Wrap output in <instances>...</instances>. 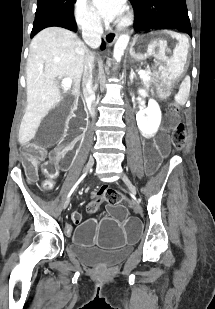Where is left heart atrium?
I'll return each mask as SVG.
<instances>
[{"instance_id": "obj_1", "label": "left heart atrium", "mask_w": 215, "mask_h": 309, "mask_svg": "<svg viewBox=\"0 0 215 309\" xmlns=\"http://www.w3.org/2000/svg\"><path fill=\"white\" fill-rule=\"evenodd\" d=\"M90 4L97 8V13L103 22L108 23L121 17L124 0H90Z\"/></svg>"}]
</instances>
